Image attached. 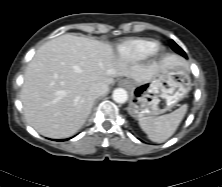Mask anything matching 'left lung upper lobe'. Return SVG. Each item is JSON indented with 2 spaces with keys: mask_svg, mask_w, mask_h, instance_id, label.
I'll list each match as a JSON object with an SVG mask.
<instances>
[{
  "mask_svg": "<svg viewBox=\"0 0 222 187\" xmlns=\"http://www.w3.org/2000/svg\"><path fill=\"white\" fill-rule=\"evenodd\" d=\"M170 45H171V48H172L175 52L179 53V54L182 55V56L185 55V52H184L173 40L170 41Z\"/></svg>",
  "mask_w": 222,
  "mask_h": 187,
  "instance_id": "left-lung-upper-lobe-1",
  "label": "left lung upper lobe"
}]
</instances>
